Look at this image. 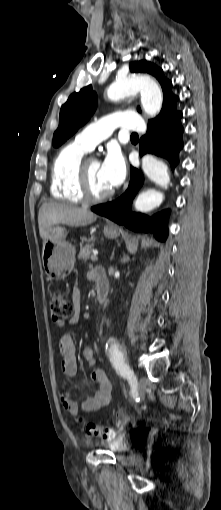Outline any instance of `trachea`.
<instances>
[{
  "instance_id": "trachea-1",
  "label": "trachea",
  "mask_w": 221,
  "mask_h": 510,
  "mask_svg": "<svg viewBox=\"0 0 221 510\" xmlns=\"http://www.w3.org/2000/svg\"><path fill=\"white\" fill-rule=\"evenodd\" d=\"M132 137H138V134L137 133H132L131 135Z\"/></svg>"
}]
</instances>
